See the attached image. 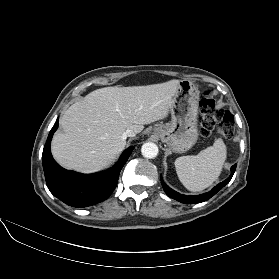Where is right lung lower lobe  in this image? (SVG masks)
Returning a JSON list of instances; mask_svg holds the SVG:
<instances>
[{
	"label": "right lung lower lobe",
	"mask_w": 279,
	"mask_h": 279,
	"mask_svg": "<svg viewBox=\"0 0 279 279\" xmlns=\"http://www.w3.org/2000/svg\"><path fill=\"white\" fill-rule=\"evenodd\" d=\"M59 120L51 129L42 154L45 179L50 192L73 207H87L106 200L115 189L120 171L134 147H129L109 170L82 174L62 168L52 157L50 143Z\"/></svg>",
	"instance_id": "right-lung-lower-lobe-1"
}]
</instances>
